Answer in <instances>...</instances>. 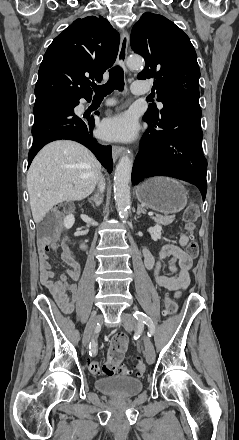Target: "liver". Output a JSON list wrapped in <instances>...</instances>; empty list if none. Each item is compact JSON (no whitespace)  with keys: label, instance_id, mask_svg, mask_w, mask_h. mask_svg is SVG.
I'll return each mask as SVG.
<instances>
[{"label":"liver","instance_id":"1","mask_svg":"<svg viewBox=\"0 0 239 440\" xmlns=\"http://www.w3.org/2000/svg\"><path fill=\"white\" fill-rule=\"evenodd\" d=\"M100 176L101 164L81 144L58 140L44 146L27 172V188L35 224L42 222L56 204L84 200L90 196ZM70 184L74 188H70Z\"/></svg>","mask_w":239,"mask_h":440}]
</instances>
